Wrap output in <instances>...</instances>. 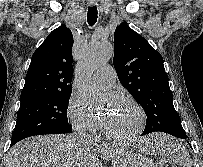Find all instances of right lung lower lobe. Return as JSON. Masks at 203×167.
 <instances>
[{
    "instance_id": "obj_1",
    "label": "right lung lower lobe",
    "mask_w": 203,
    "mask_h": 167,
    "mask_svg": "<svg viewBox=\"0 0 203 167\" xmlns=\"http://www.w3.org/2000/svg\"><path fill=\"white\" fill-rule=\"evenodd\" d=\"M15 143H11V146H13Z\"/></svg>"
}]
</instances>
